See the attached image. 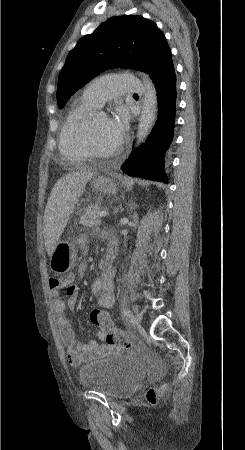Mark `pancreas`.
Masks as SVG:
<instances>
[{"label": "pancreas", "mask_w": 245, "mask_h": 450, "mask_svg": "<svg viewBox=\"0 0 245 450\" xmlns=\"http://www.w3.org/2000/svg\"><path fill=\"white\" fill-rule=\"evenodd\" d=\"M100 209L97 206L90 205L80 217L79 224L86 228H92L100 224L99 213Z\"/></svg>", "instance_id": "1"}]
</instances>
